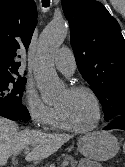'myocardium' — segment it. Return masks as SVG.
I'll return each instance as SVG.
<instances>
[{"instance_id":"obj_1","label":"myocardium","mask_w":125,"mask_h":167,"mask_svg":"<svg viewBox=\"0 0 125 167\" xmlns=\"http://www.w3.org/2000/svg\"><path fill=\"white\" fill-rule=\"evenodd\" d=\"M67 90L70 93H86V94H88L95 103L97 115H96L95 122L91 126L86 127V128H77V127L73 126L67 120V118L65 117L63 112L58 107H56V112L58 114L59 121H60L62 128L66 129L68 131H71L73 133H78V134L87 133V132L95 130L99 126L101 119H102V105H101L100 99L98 98L96 93L91 88H89L85 85H73V86L69 87Z\"/></svg>"}]
</instances>
